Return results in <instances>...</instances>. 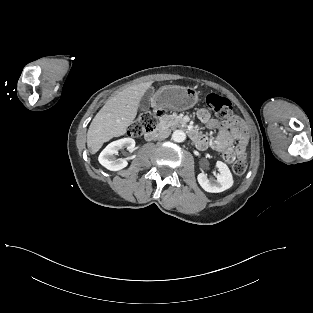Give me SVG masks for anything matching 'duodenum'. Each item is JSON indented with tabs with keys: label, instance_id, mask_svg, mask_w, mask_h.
<instances>
[{
	"label": "duodenum",
	"instance_id": "duodenum-1",
	"mask_svg": "<svg viewBox=\"0 0 313 313\" xmlns=\"http://www.w3.org/2000/svg\"><path fill=\"white\" fill-rule=\"evenodd\" d=\"M163 131H164V126L159 125L155 130L146 133L145 138H146L147 140L155 139V138H157ZM188 132H189L190 137H191L193 140H195V139L197 138V133H196L195 130L189 129Z\"/></svg>",
	"mask_w": 313,
	"mask_h": 313
}]
</instances>
